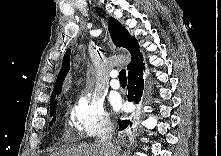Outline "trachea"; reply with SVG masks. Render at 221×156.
Masks as SVG:
<instances>
[{
  "label": "trachea",
  "instance_id": "trachea-1",
  "mask_svg": "<svg viewBox=\"0 0 221 156\" xmlns=\"http://www.w3.org/2000/svg\"><path fill=\"white\" fill-rule=\"evenodd\" d=\"M119 80H120V81H127L125 69H122V70L119 72Z\"/></svg>",
  "mask_w": 221,
  "mask_h": 156
}]
</instances>
